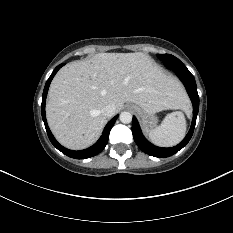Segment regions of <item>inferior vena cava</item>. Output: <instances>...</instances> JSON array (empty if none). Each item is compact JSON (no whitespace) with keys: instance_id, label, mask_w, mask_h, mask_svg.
<instances>
[{"instance_id":"1","label":"inferior vena cava","mask_w":233,"mask_h":233,"mask_svg":"<svg viewBox=\"0 0 233 233\" xmlns=\"http://www.w3.org/2000/svg\"><path fill=\"white\" fill-rule=\"evenodd\" d=\"M102 114L111 117L115 114V106L113 104H108L104 108H102Z\"/></svg>"}]
</instances>
